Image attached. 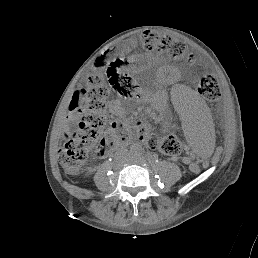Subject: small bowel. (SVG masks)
<instances>
[{"mask_svg": "<svg viewBox=\"0 0 258 258\" xmlns=\"http://www.w3.org/2000/svg\"><path fill=\"white\" fill-rule=\"evenodd\" d=\"M134 45H135V42L134 41H130L129 44H128V48L133 47ZM183 161L185 163H188L189 159L188 158H184Z\"/></svg>", "mask_w": 258, "mask_h": 258, "instance_id": "1", "label": "small bowel"}]
</instances>
